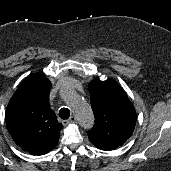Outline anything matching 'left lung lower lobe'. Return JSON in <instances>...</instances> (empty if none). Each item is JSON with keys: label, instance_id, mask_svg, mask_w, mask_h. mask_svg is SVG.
<instances>
[{"label": "left lung lower lobe", "instance_id": "obj_1", "mask_svg": "<svg viewBox=\"0 0 171 171\" xmlns=\"http://www.w3.org/2000/svg\"><path fill=\"white\" fill-rule=\"evenodd\" d=\"M97 148H99V149H101V150H108V149H105V148H101V147H98V146H96Z\"/></svg>", "mask_w": 171, "mask_h": 171}]
</instances>
